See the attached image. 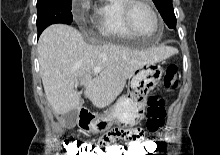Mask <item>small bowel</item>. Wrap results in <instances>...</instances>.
Segmentation results:
<instances>
[{
	"instance_id": "c3829d8e",
	"label": "small bowel",
	"mask_w": 220,
	"mask_h": 155,
	"mask_svg": "<svg viewBox=\"0 0 220 155\" xmlns=\"http://www.w3.org/2000/svg\"><path fill=\"white\" fill-rule=\"evenodd\" d=\"M139 139H145L142 126H111V130H106V132L103 133L102 136H99L98 140L94 141V144L124 146L116 145L117 141H139Z\"/></svg>"
}]
</instances>
